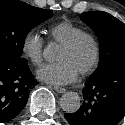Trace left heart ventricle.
I'll return each mask as SVG.
<instances>
[{
    "label": "left heart ventricle",
    "instance_id": "1",
    "mask_svg": "<svg viewBox=\"0 0 125 125\" xmlns=\"http://www.w3.org/2000/svg\"><path fill=\"white\" fill-rule=\"evenodd\" d=\"M93 52L92 42L89 39H83L71 49L61 46L57 53V60L69 62L80 73L90 63Z\"/></svg>",
    "mask_w": 125,
    "mask_h": 125
}]
</instances>
